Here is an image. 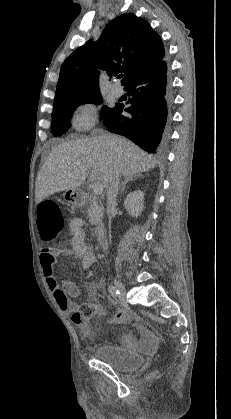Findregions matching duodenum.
I'll return each instance as SVG.
<instances>
[{"instance_id": "1", "label": "duodenum", "mask_w": 231, "mask_h": 419, "mask_svg": "<svg viewBox=\"0 0 231 419\" xmlns=\"http://www.w3.org/2000/svg\"><path fill=\"white\" fill-rule=\"evenodd\" d=\"M83 200H84V195L80 194V195H77L76 196V201L78 203L83 202ZM96 234H97V236L99 238V241L101 243H105L104 228H103V226L101 224L97 225V227H96Z\"/></svg>"}]
</instances>
